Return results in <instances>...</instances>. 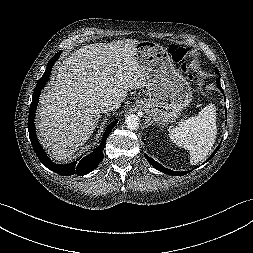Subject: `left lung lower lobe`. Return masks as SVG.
I'll list each match as a JSON object with an SVG mask.
<instances>
[{
  "mask_svg": "<svg viewBox=\"0 0 253 253\" xmlns=\"http://www.w3.org/2000/svg\"><path fill=\"white\" fill-rule=\"evenodd\" d=\"M217 73H218V75H220L218 70H217ZM217 87L223 92V90L221 88V85H220L219 78L217 79ZM218 149H219V146L216 148V150L212 153V155L208 158L207 161H209L216 154V152H217ZM145 157L147 158V160L149 161V163L154 168H156L157 170H159L161 172H164L166 174L180 176V175H184V174H186V173L189 172V171H184V172L172 171L170 169H167V168L163 167L162 165H160L159 163H157L156 161H154L153 159H151L149 156L145 155Z\"/></svg>",
  "mask_w": 253,
  "mask_h": 253,
  "instance_id": "1",
  "label": "left lung lower lobe"
}]
</instances>
